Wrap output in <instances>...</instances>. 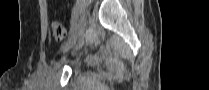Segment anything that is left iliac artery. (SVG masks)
I'll list each match as a JSON object with an SVG mask.
<instances>
[{
    "mask_svg": "<svg viewBox=\"0 0 209 90\" xmlns=\"http://www.w3.org/2000/svg\"><path fill=\"white\" fill-rule=\"evenodd\" d=\"M82 4H83V1H78L76 5H74V9H73L74 14L72 15V21H71V26H70L68 35H71V32L73 31V29H76L77 19H79L82 16V13H81Z\"/></svg>",
    "mask_w": 209,
    "mask_h": 90,
    "instance_id": "obj_1",
    "label": "left iliac artery"
}]
</instances>
